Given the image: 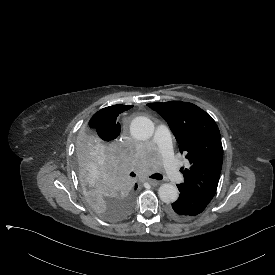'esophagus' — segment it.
Masks as SVG:
<instances>
[{"mask_svg": "<svg viewBox=\"0 0 275 275\" xmlns=\"http://www.w3.org/2000/svg\"><path fill=\"white\" fill-rule=\"evenodd\" d=\"M147 182L151 185V186H157L159 185V181L155 180V179H148Z\"/></svg>", "mask_w": 275, "mask_h": 275, "instance_id": "1", "label": "esophagus"}]
</instances>
